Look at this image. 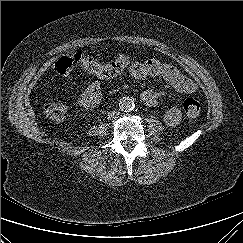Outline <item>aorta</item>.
<instances>
[{"label":"aorta","instance_id":"1","mask_svg":"<svg viewBox=\"0 0 243 243\" xmlns=\"http://www.w3.org/2000/svg\"><path fill=\"white\" fill-rule=\"evenodd\" d=\"M119 107L124 112H131L135 108L134 100L129 97H123L119 101Z\"/></svg>","mask_w":243,"mask_h":243}]
</instances>
